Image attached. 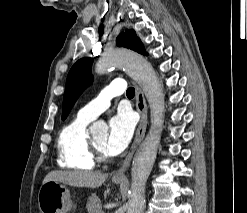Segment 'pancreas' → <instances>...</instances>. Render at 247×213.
I'll return each mask as SVG.
<instances>
[{
	"instance_id": "cf45deb5",
	"label": "pancreas",
	"mask_w": 247,
	"mask_h": 213,
	"mask_svg": "<svg viewBox=\"0 0 247 213\" xmlns=\"http://www.w3.org/2000/svg\"><path fill=\"white\" fill-rule=\"evenodd\" d=\"M88 213H103L101 200L96 194L91 195L86 204Z\"/></svg>"
}]
</instances>
